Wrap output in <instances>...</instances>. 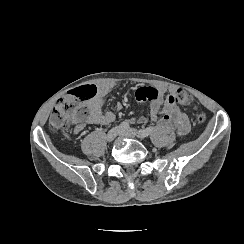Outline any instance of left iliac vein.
<instances>
[{"label":"left iliac vein","mask_w":244,"mask_h":244,"mask_svg":"<svg viewBox=\"0 0 244 244\" xmlns=\"http://www.w3.org/2000/svg\"><path fill=\"white\" fill-rule=\"evenodd\" d=\"M120 135L124 137L133 138L138 135V131L134 128L122 129Z\"/></svg>","instance_id":"4c4485c4"}]
</instances>
